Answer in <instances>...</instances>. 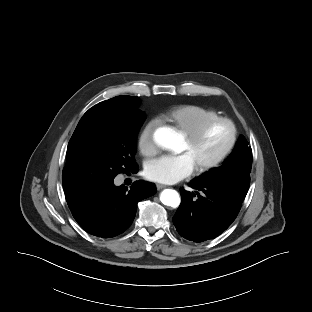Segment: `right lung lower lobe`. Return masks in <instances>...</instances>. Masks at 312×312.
I'll list each match as a JSON object with an SVG mask.
<instances>
[{
	"mask_svg": "<svg viewBox=\"0 0 312 312\" xmlns=\"http://www.w3.org/2000/svg\"><path fill=\"white\" fill-rule=\"evenodd\" d=\"M155 193L153 183L136 181L128 190L124 185L116 187L112 180L67 200V203L86 232L109 238L123 233L135 218L137 203Z\"/></svg>",
	"mask_w": 312,
	"mask_h": 312,
	"instance_id": "obj_1",
	"label": "right lung lower lobe"
}]
</instances>
